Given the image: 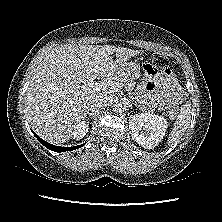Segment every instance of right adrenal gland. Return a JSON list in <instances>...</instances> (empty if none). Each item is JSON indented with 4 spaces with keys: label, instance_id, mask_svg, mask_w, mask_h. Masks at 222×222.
I'll return each mask as SVG.
<instances>
[{
    "label": "right adrenal gland",
    "instance_id": "right-adrenal-gland-1",
    "mask_svg": "<svg viewBox=\"0 0 222 222\" xmlns=\"http://www.w3.org/2000/svg\"><path fill=\"white\" fill-rule=\"evenodd\" d=\"M87 114H89L90 116H91V115H95V113H92V112L89 113V111L86 113V115H87Z\"/></svg>",
    "mask_w": 222,
    "mask_h": 222
}]
</instances>
